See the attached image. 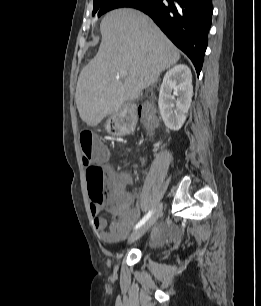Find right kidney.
Segmentation results:
<instances>
[{
    "instance_id": "ca27d5eb",
    "label": "right kidney",
    "mask_w": 261,
    "mask_h": 306,
    "mask_svg": "<svg viewBox=\"0 0 261 306\" xmlns=\"http://www.w3.org/2000/svg\"><path fill=\"white\" fill-rule=\"evenodd\" d=\"M192 96V73L189 67L182 64L167 71L158 100L160 114L167 128L178 131L182 127Z\"/></svg>"
}]
</instances>
